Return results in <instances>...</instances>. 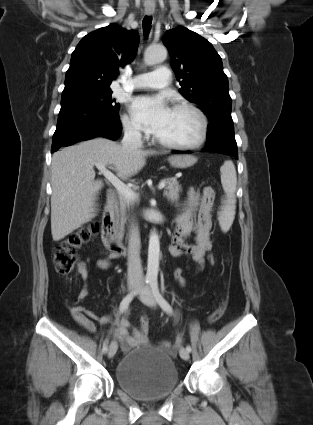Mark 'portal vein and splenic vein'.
Returning a JSON list of instances; mask_svg holds the SVG:
<instances>
[{
	"label": "portal vein and splenic vein",
	"instance_id": "obj_1",
	"mask_svg": "<svg viewBox=\"0 0 313 425\" xmlns=\"http://www.w3.org/2000/svg\"><path fill=\"white\" fill-rule=\"evenodd\" d=\"M97 169L104 175V177L116 188L119 194L130 200H136L137 194L126 184H124L117 176H115L109 169L106 168L105 164L92 163ZM166 186L165 182H161L158 185V189L161 190Z\"/></svg>",
	"mask_w": 313,
	"mask_h": 425
}]
</instances>
